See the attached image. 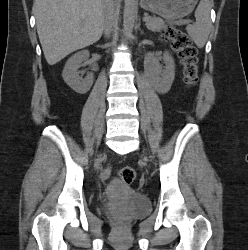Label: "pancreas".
<instances>
[{"label":"pancreas","instance_id":"1","mask_svg":"<svg viewBox=\"0 0 248 250\" xmlns=\"http://www.w3.org/2000/svg\"><path fill=\"white\" fill-rule=\"evenodd\" d=\"M146 26L151 31H160L166 28L165 21L158 17H149V20L146 21Z\"/></svg>","mask_w":248,"mask_h":250}]
</instances>
